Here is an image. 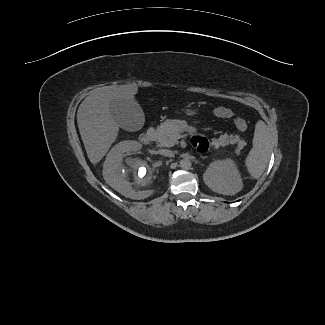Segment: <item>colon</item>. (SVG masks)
Segmentation results:
<instances>
[{"label": "colon", "mask_w": 325, "mask_h": 325, "mask_svg": "<svg viewBox=\"0 0 325 325\" xmlns=\"http://www.w3.org/2000/svg\"><path fill=\"white\" fill-rule=\"evenodd\" d=\"M214 116L218 118H231L234 121L236 128L240 131L248 129L247 122L241 117L236 115L231 109L225 107H216L212 110Z\"/></svg>", "instance_id": "colon-1"}]
</instances>
